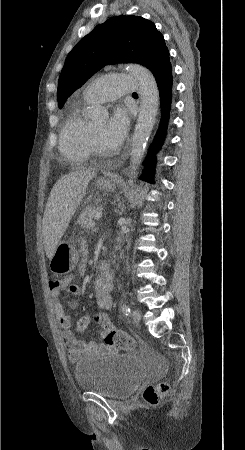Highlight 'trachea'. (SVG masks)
Here are the masks:
<instances>
[{
  "label": "trachea",
  "instance_id": "3493384b",
  "mask_svg": "<svg viewBox=\"0 0 245 450\" xmlns=\"http://www.w3.org/2000/svg\"><path fill=\"white\" fill-rule=\"evenodd\" d=\"M133 95H137V93H133Z\"/></svg>",
  "mask_w": 245,
  "mask_h": 450
}]
</instances>
